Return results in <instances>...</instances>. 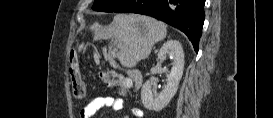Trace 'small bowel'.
<instances>
[{
    "mask_svg": "<svg viewBox=\"0 0 273 118\" xmlns=\"http://www.w3.org/2000/svg\"><path fill=\"white\" fill-rule=\"evenodd\" d=\"M123 99L112 95H97L94 96L82 109L80 110L81 118H91L96 112L103 108H109L114 111L123 109ZM132 116L142 117L143 112L139 107H132L130 110Z\"/></svg>",
    "mask_w": 273,
    "mask_h": 118,
    "instance_id": "1",
    "label": "small bowel"
}]
</instances>
